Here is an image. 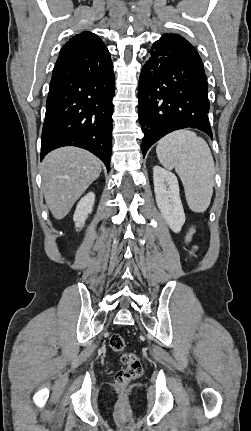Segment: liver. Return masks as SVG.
Here are the masks:
<instances>
[{
  "instance_id": "obj_1",
  "label": "liver",
  "mask_w": 251,
  "mask_h": 431,
  "mask_svg": "<svg viewBox=\"0 0 251 431\" xmlns=\"http://www.w3.org/2000/svg\"><path fill=\"white\" fill-rule=\"evenodd\" d=\"M101 170V161L95 155L76 147L59 148L45 157L41 167L42 190L57 220L69 213Z\"/></svg>"
}]
</instances>
